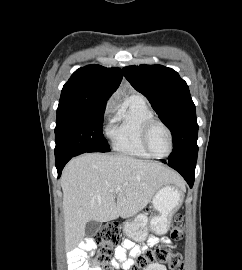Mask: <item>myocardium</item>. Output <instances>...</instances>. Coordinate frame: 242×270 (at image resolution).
Here are the masks:
<instances>
[{
  "mask_svg": "<svg viewBox=\"0 0 242 270\" xmlns=\"http://www.w3.org/2000/svg\"><path fill=\"white\" fill-rule=\"evenodd\" d=\"M154 125L162 126L166 130L168 137H169V143H170L169 151L167 152V154H165L163 156H158V155L154 154L149 146V134H150V131ZM141 142H142V145H143L144 149L146 150V152L151 157L156 158V159H165V158L169 157L172 154L173 149H174V139H173V134H172L171 129L162 120L154 118V117L147 120L144 123L143 128H142V133H141Z\"/></svg>",
  "mask_w": 242,
  "mask_h": 270,
  "instance_id": "myocardium-1",
  "label": "myocardium"
}]
</instances>
